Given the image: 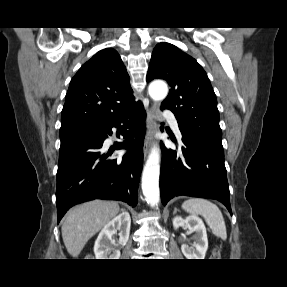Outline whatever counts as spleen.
<instances>
[{
	"mask_svg": "<svg viewBox=\"0 0 287 287\" xmlns=\"http://www.w3.org/2000/svg\"><path fill=\"white\" fill-rule=\"evenodd\" d=\"M182 208L192 215H201L213 234L226 240L225 221L222 212L214 203L203 198H190L183 202Z\"/></svg>",
	"mask_w": 287,
	"mask_h": 287,
	"instance_id": "obj_1",
	"label": "spleen"
}]
</instances>
